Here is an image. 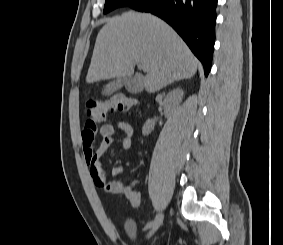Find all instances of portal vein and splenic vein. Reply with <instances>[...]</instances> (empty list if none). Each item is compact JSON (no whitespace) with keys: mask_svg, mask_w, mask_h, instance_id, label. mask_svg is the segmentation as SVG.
Segmentation results:
<instances>
[{"mask_svg":"<svg viewBox=\"0 0 283 245\" xmlns=\"http://www.w3.org/2000/svg\"><path fill=\"white\" fill-rule=\"evenodd\" d=\"M139 66H140L143 70L146 69V66H145L144 64H139Z\"/></svg>","mask_w":283,"mask_h":245,"instance_id":"portal-vein-and-splenic-vein-1","label":"portal vein and splenic vein"}]
</instances>
